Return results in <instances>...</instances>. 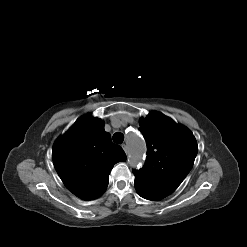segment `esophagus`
Returning <instances> with one entry per match:
<instances>
[{"label": "esophagus", "instance_id": "esophagus-1", "mask_svg": "<svg viewBox=\"0 0 247 247\" xmlns=\"http://www.w3.org/2000/svg\"><path fill=\"white\" fill-rule=\"evenodd\" d=\"M122 148L126 154H128V146L126 144H122Z\"/></svg>", "mask_w": 247, "mask_h": 247}]
</instances>
